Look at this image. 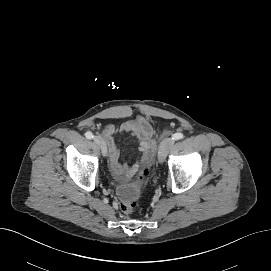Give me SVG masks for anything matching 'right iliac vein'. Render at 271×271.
<instances>
[{
  "label": "right iliac vein",
  "mask_w": 271,
  "mask_h": 271,
  "mask_svg": "<svg viewBox=\"0 0 271 271\" xmlns=\"http://www.w3.org/2000/svg\"><path fill=\"white\" fill-rule=\"evenodd\" d=\"M93 140H94V143L100 147L103 156H106L107 148H106V144L103 138L101 136H95Z\"/></svg>",
  "instance_id": "1"
}]
</instances>
